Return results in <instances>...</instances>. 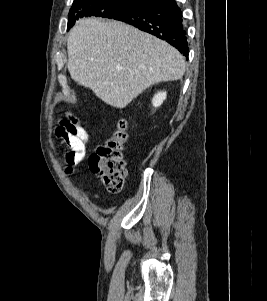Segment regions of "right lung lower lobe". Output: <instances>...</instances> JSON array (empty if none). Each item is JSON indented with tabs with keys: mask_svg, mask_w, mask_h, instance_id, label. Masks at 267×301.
I'll return each mask as SVG.
<instances>
[{
	"mask_svg": "<svg viewBox=\"0 0 267 301\" xmlns=\"http://www.w3.org/2000/svg\"><path fill=\"white\" fill-rule=\"evenodd\" d=\"M165 40L188 58V42L182 13L175 0H157L114 17Z\"/></svg>",
	"mask_w": 267,
	"mask_h": 301,
	"instance_id": "right-lung-lower-lobe-1",
	"label": "right lung lower lobe"
}]
</instances>
